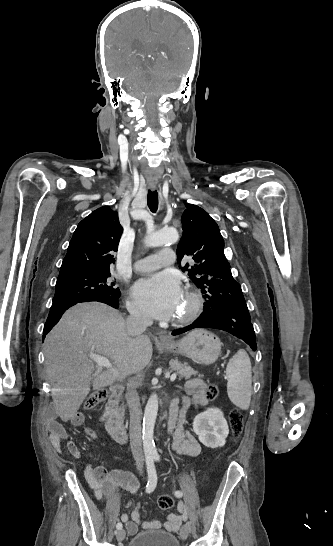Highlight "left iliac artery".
Listing matches in <instances>:
<instances>
[{
    "label": "left iliac artery",
    "mask_w": 333,
    "mask_h": 546,
    "mask_svg": "<svg viewBox=\"0 0 333 546\" xmlns=\"http://www.w3.org/2000/svg\"><path fill=\"white\" fill-rule=\"evenodd\" d=\"M154 459H155V460H159V459H160V458H159V455H158V454L154 455ZM174 494H175V496L178 497V498H179V497H182V495H183V493H182L181 491H175ZM184 519H185V520L187 519V515H186V514L184 515ZM187 524H189V522H187ZM189 525H190V524H189Z\"/></svg>",
    "instance_id": "left-iliac-artery-1"
}]
</instances>
